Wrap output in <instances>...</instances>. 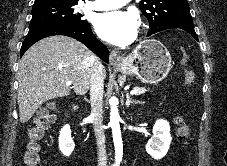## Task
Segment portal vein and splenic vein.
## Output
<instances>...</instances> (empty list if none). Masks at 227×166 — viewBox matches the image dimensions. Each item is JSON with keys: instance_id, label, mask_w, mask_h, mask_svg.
Instances as JSON below:
<instances>
[{"instance_id": "obj_1", "label": "portal vein and splenic vein", "mask_w": 227, "mask_h": 166, "mask_svg": "<svg viewBox=\"0 0 227 166\" xmlns=\"http://www.w3.org/2000/svg\"><path fill=\"white\" fill-rule=\"evenodd\" d=\"M71 84H72L71 81H67V82H66V85H67V86H70ZM138 93H139V89H137V88L130 91V94H131V95H137Z\"/></svg>"}]
</instances>
